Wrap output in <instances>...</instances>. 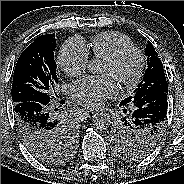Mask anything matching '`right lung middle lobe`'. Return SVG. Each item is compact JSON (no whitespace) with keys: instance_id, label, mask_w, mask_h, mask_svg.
Wrapping results in <instances>:
<instances>
[{"instance_id":"dd1d6c3e","label":"right lung middle lobe","mask_w":184,"mask_h":184,"mask_svg":"<svg viewBox=\"0 0 184 184\" xmlns=\"http://www.w3.org/2000/svg\"><path fill=\"white\" fill-rule=\"evenodd\" d=\"M55 34L38 37L20 55L16 63L12 81L13 103L35 101L49 104L56 95L58 83L54 53ZM75 145V132L66 125L59 130L56 141L44 149L33 150L40 161L57 164L68 159Z\"/></svg>"}]
</instances>
